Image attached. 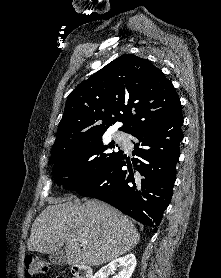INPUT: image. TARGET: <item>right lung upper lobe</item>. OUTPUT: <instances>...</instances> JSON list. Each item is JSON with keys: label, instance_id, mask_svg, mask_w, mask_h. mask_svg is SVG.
<instances>
[{"label": "right lung upper lobe", "instance_id": "right-lung-upper-lobe-1", "mask_svg": "<svg viewBox=\"0 0 221 278\" xmlns=\"http://www.w3.org/2000/svg\"><path fill=\"white\" fill-rule=\"evenodd\" d=\"M182 113L180 99L149 60L124 54L79 84L68 96L52 150L102 136L115 122L135 129Z\"/></svg>", "mask_w": 221, "mask_h": 278}]
</instances>
